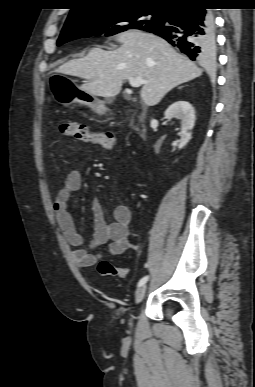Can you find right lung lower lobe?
<instances>
[{"label":"right lung lower lobe","mask_w":255,"mask_h":387,"mask_svg":"<svg viewBox=\"0 0 255 387\" xmlns=\"http://www.w3.org/2000/svg\"><path fill=\"white\" fill-rule=\"evenodd\" d=\"M164 22L146 31L166 39L193 61L215 60V25L212 12L198 0L166 9Z\"/></svg>","instance_id":"right-lung-lower-lobe-1"}]
</instances>
